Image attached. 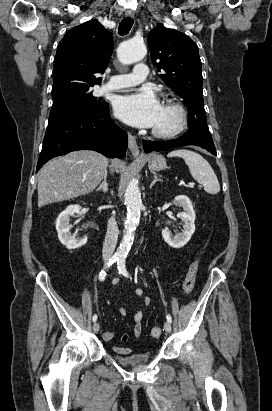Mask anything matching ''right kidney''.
I'll return each mask as SVG.
<instances>
[{"mask_svg": "<svg viewBox=\"0 0 272 411\" xmlns=\"http://www.w3.org/2000/svg\"><path fill=\"white\" fill-rule=\"evenodd\" d=\"M80 209V205H69L59 214L56 220L58 238L60 242L70 250L80 248L87 242V237L78 239L70 232L72 226L69 224V218L70 216H74L75 213H79Z\"/></svg>", "mask_w": 272, "mask_h": 411, "instance_id": "ca27d5eb", "label": "right kidney"}]
</instances>
